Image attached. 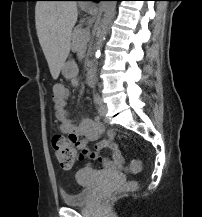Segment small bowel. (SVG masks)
<instances>
[{"mask_svg":"<svg viewBox=\"0 0 202 217\" xmlns=\"http://www.w3.org/2000/svg\"><path fill=\"white\" fill-rule=\"evenodd\" d=\"M79 75L72 77V84H79ZM69 97V89L62 85L56 84L53 87L54 111L57 120L60 122V129L63 133L69 136V141L75 144L78 148L84 151L85 159H94L102 163L105 171L119 172L124 164V157L118 146L114 143V133L109 131L107 139L96 143L94 150L87 147V140L97 139L104 133V126L99 118L89 119L81 118L78 122L70 118V113L67 109ZM84 137V139H80ZM104 149H109L112 152V157L108 158L101 155Z\"/></svg>","mask_w":202,"mask_h":217,"instance_id":"c3829d8e","label":"small bowel"}]
</instances>
